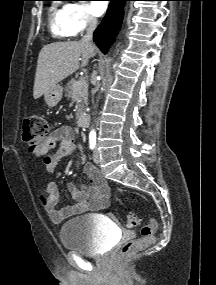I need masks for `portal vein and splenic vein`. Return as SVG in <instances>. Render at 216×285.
Listing matches in <instances>:
<instances>
[{"instance_id": "portal-vein-and-splenic-vein-1", "label": "portal vein and splenic vein", "mask_w": 216, "mask_h": 285, "mask_svg": "<svg viewBox=\"0 0 216 285\" xmlns=\"http://www.w3.org/2000/svg\"><path fill=\"white\" fill-rule=\"evenodd\" d=\"M83 83V79H80L79 81L74 82V88L78 89Z\"/></svg>"}]
</instances>
